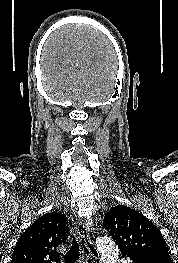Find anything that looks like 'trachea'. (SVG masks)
I'll use <instances>...</instances> for the list:
<instances>
[{
  "mask_svg": "<svg viewBox=\"0 0 178 263\" xmlns=\"http://www.w3.org/2000/svg\"><path fill=\"white\" fill-rule=\"evenodd\" d=\"M80 250H83L84 253H89L88 249L84 245L83 240H77L76 236H73L72 246L67 254L64 256L65 263H75L80 256Z\"/></svg>",
  "mask_w": 178,
  "mask_h": 263,
  "instance_id": "trachea-1",
  "label": "trachea"
}]
</instances>
